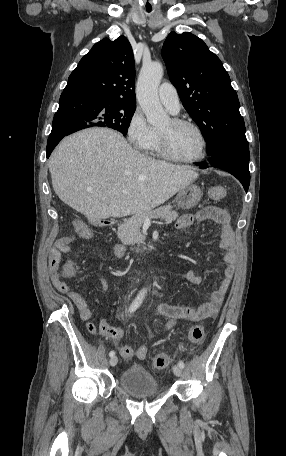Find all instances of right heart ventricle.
<instances>
[{
	"instance_id": "obj_1",
	"label": "right heart ventricle",
	"mask_w": 286,
	"mask_h": 456,
	"mask_svg": "<svg viewBox=\"0 0 286 456\" xmlns=\"http://www.w3.org/2000/svg\"><path fill=\"white\" fill-rule=\"evenodd\" d=\"M148 154L160 157L161 154L159 152V144H158V135L157 132L154 131V136L149 145L144 149Z\"/></svg>"
}]
</instances>
